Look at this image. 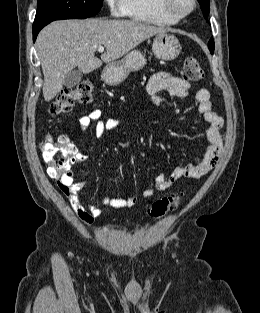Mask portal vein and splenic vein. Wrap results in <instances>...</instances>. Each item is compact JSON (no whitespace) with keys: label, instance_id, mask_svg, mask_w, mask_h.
Listing matches in <instances>:
<instances>
[{"label":"portal vein and splenic vein","instance_id":"obj_1","mask_svg":"<svg viewBox=\"0 0 260 313\" xmlns=\"http://www.w3.org/2000/svg\"><path fill=\"white\" fill-rule=\"evenodd\" d=\"M97 50H98L99 52H103V51H104V47H103V46H99V47L97 48Z\"/></svg>","mask_w":260,"mask_h":313}]
</instances>
